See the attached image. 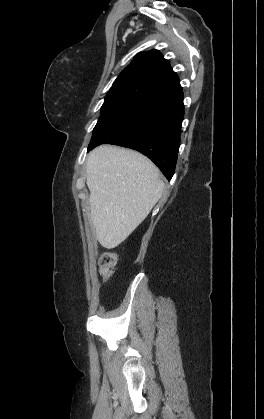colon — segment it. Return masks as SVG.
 <instances>
[{
	"label": "colon",
	"instance_id": "colon-1",
	"mask_svg": "<svg viewBox=\"0 0 264 419\" xmlns=\"http://www.w3.org/2000/svg\"><path fill=\"white\" fill-rule=\"evenodd\" d=\"M117 263V255L112 252L102 254L100 258V272L104 279H109Z\"/></svg>",
	"mask_w": 264,
	"mask_h": 419
}]
</instances>
